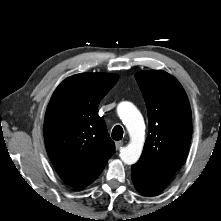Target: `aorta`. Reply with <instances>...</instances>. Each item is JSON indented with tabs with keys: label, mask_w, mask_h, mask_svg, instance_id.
<instances>
[{
	"label": "aorta",
	"mask_w": 221,
	"mask_h": 221,
	"mask_svg": "<svg viewBox=\"0 0 221 221\" xmlns=\"http://www.w3.org/2000/svg\"><path fill=\"white\" fill-rule=\"evenodd\" d=\"M117 111L131 138L130 143L121 148L120 158L125 164L132 165L139 160L142 153L145 140L144 120L137 108L129 102L120 103Z\"/></svg>",
	"instance_id": "1"
}]
</instances>
